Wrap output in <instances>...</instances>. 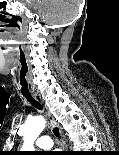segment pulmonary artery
Wrapping results in <instances>:
<instances>
[{"instance_id":"obj_1","label":"pulmonary artery","mask_w":119,"mask_h":155,"mask_svg":"<svg viewBox=\"0 0 119 155\" xmlns=\"http://www.w3.org/2000/svg\"><path fill=\"white\" fill-rule=\"evenodd\" d=\"M36 145L41 149H50L53 146V141L49 136L43 135L37 139Z\"/></svg>"}]
</instances>
